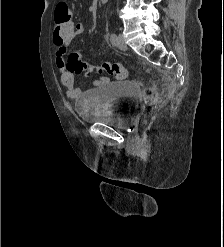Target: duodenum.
<instances>
[{
  "instance_id": "duodenum-1",
  "label": "duodenum",
  "mask_w": 224,
  "mask_h": 247,
  "mask_svg": "<svg viewBox=\"0 0 224 247\" xmlns=\"http://www.w3.org/2000/svg\"><path fill=\"white\" fill-rule=\"evenodd\" d=\"M102 3L106 2V0H101Z\"/></svg>"
}]
</instances>
